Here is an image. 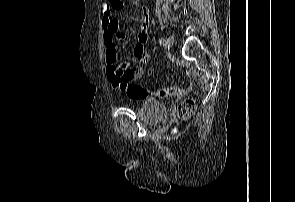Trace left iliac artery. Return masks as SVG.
Masks as SVG:
<instances>
[{"instance_id": "left-iliac-artery-1", "label": "left iliac artery", "mask_w": 295, "mask_h": 202, "mask_svg": "<svg viewBox=\"0 0 295 202\" xmlns=\"http://www.w3.org/2000/svg\"><path fill=\"white\" fill-rule=\"evenodd\" d=\"M159 44L160 45H164L165 44V39L164 38H160L159 39Z\"/></svg>"}]
</instances>
